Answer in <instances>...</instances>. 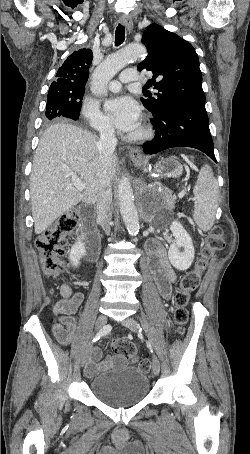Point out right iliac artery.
<instances>
[{
  "mask_svg": "<svg viewBox=\"0 0 250 454\" xmlns=\"http://www.w3.org/2000/svg\"><path fill=\"white\" fill-rule=\"evenodd\" d=\"M110 331H111V326H110V325H107V326L103 327V329H101V330L93 337L92 342L94 343V342L98 341L102 336L107 335Z\"/></svg>",
  "mask_w": 250,
  "mask_h": 454,
  "instance_id": "right-iliac-artery-1",
  "label": "right iliac artery"
}]
</instances>
